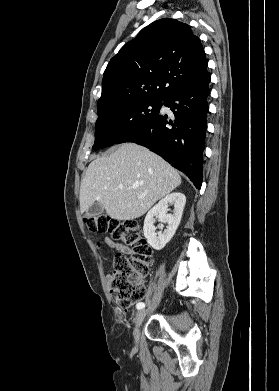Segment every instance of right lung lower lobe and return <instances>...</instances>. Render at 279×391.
<instances>
[{
    "label": "right lung lower lobe",
    "instance_id": "obj_1",
    "mask_svg": "<svg viewBox=\"0 0 279 391\" xmlns=\"http://www.w3.org/2000/svg\"><path fill=\"white\" fill-rule=\"evenodd\" d=\"M209 82L206 71L163 101L171 110L169 115L159 112L151 121L127 132L116 144L135 142L146 146L184 172L200 189Z\"/></svg>",
    "mask_w": 279,
    "mask_h": 391
}]
</instances>
